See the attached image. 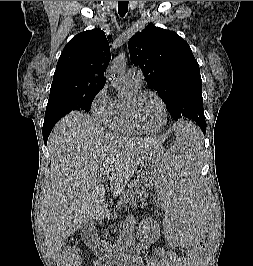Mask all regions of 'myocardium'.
I'll return each instance as SVG.
<instances>
[{
	"mask_svg": "<svg viewBox=\"0 0 253 266\" xmlns=\"http://www.w3.org/2000/svg\"><path fill=\"white\" fill-rule=\"evenodd\" d=\"M145 96H153L155 97L163 110V123L162 125L154 130H149V129H145L141 126L139 120H138V115H137V104L138 102ZM128 113H129V117H130V121L132 126L141 134H158L160 132H162L167 124H168V109H167V105L164 101V99L161 97L160 94H158L157 92L153 91V90H139L137 92H135L134 94H132L129 99H128Z\"/></svg>",
	"mask_w": 253,
	"mask_h": 266,
	"instance_id": "obj_1",
	"label": "myocardium"
}]
</instances>
